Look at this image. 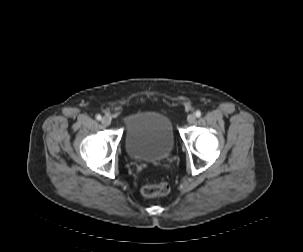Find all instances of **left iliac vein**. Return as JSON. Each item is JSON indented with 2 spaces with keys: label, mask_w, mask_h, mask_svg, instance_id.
Returning <instances> with one entry per match:
<instances>
[{
  "label": "left iliac vein",
  "mask_w": 303,
  "mask_h": 252,
  "mask_svg": "<svg viewBox=\"0 0 303 252\" xmlns=\"http://www.w3.org/2000/svg\"><path fill=\"white\" fill-rule=\"evenodd\" d=\"M187 121H188L190 124H194V123L196 122V116H195L194 114L188 115Z\"/></svg>",
  "instance_id": "obj_1"
}]
</instances>
